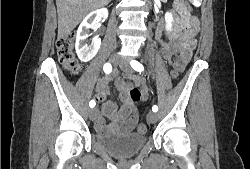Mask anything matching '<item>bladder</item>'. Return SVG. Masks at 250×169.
I'll list each match as a JSON object with an SVG mask.
<instances>
[{
  "label": "bladder",
  "instance_id": "bladder-1",
  "mask_svg": "<svg viewBox=\"0 0 250 169\" xmlns=\"http://www.w3.org/2000/svg\"><path fill=\"white\" fill-rule=\"evenodd\" d=\"M93 142L116 158H126L140 152L147 143V136L146 134L125 132H95L93 133Z\"/></svg>",
  "mask_w": 250,
  "mask_h": 169
}]
</instances>
